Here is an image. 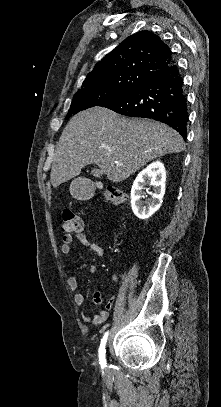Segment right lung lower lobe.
<instances>
[{"label": "right lung lower lobe", "mask_w": 221, "mask_h": 407, "mask_svg": "<svg viewBox=\"0 0 221 407\" xmlns=\"http://www.w3.org/2000/svg\"><path fill=\"white\" fill-rule=\"evenodd\" d=\"M102 107L129 117L160 121L174 128L186 139L187 98L183 78L174 62Z\"/></svg>", "instance_id": "1"}]
</instances>
